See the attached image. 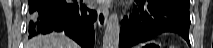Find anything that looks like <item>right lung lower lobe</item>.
Wrapping results in <instances>:
<instances>
[{
  "instance_id": "1",
  "label": "right lung lower lobe",
  "mask_w": 213,
  "mask_h": 48,
  "mask_svg": "<svg viewBox=\"0 0 213 48\" xmlns=\"http://www.w3.org/2000/svg\"><path fill=\"white\" fill-rule=\"evenodd\" d=\"M29 38L64 31L82 48H93L97 13L73 0H28Z\"/></svg>"
}]
</instances>
